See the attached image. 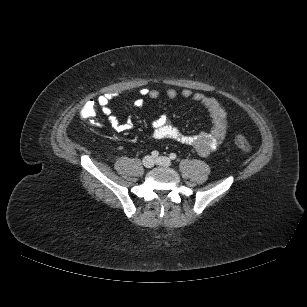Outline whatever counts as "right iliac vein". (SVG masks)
Here are the masks:
<instances>
[{
  "label": "right iliac vein",
  "instance_id": "right-iliac-vein-1",
  "mask_svg": "<svg viewBox=\"0 0 307 307\" xmlns=\"http://www.w3.org/2000/svg\"><path fill=\"white\" fill-rule=\"evenodd\" d=\"M144 167L152 168L154 166V159L151 156H145L142 161Z\"/></svg>",
  "mask_w": 307,
  "mask_h": 307
}]
</instances>
